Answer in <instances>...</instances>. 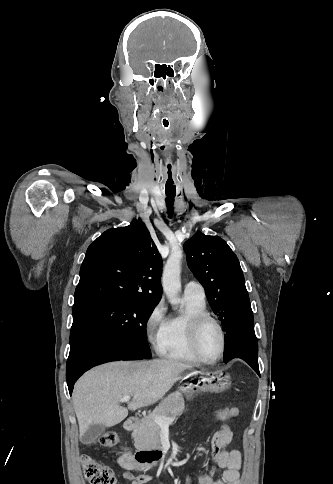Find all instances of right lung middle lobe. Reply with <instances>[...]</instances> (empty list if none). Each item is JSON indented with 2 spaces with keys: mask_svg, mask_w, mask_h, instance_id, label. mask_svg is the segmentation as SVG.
Masks as SVG:
<instances>
[{
  "mask_svg": "<svg viewBox=\"0 0 333 484\" xmlns=\"http://www.w3.org/2000/svg\"><path fill=\"white\" fill-rule=\"evenodd\" d=\"M157 303L111 297H91L74 304L73 316L82 313L123 339L144 359L151 357L146 325Z\"/></svg>",
  "mask_w": 333,
  "mask_h": 484,
  "instance_id": "obj_1",
  "label": "right lung middle lobe"
}]
</instances>
